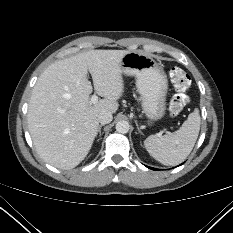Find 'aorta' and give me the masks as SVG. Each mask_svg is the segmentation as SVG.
<instances>
[{"mask_svg":"<svg viewBox=\"0 0 233 233\" xmlns=\"http://www.w3.org/2000/svg\"><path fill=\"white\" fill-rule=\"evenodd\" d=\"M129 127H130L129 123L124 120L118 121L116 123V131L121 134L127 133L129 131Z\"/></svg>","mask_w":233,"mask_h":233,"instance_id":"1","label":"aorta"}]
</instances>
